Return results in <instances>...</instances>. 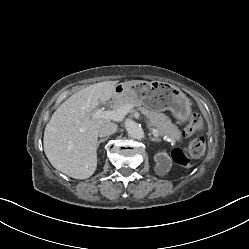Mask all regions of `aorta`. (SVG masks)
I'll list each match as a JSON object with an SVG mask.
<instances>
[{
    "mask_svg": "<svg viewBox=\"0 0 249 249\" xmlns=\"http://www.w3.org/2000/svg\"><path fill=\"white\" fill-rule=\"evenodd\" d=\"M128 134L138 140L144 138L143 129L134 121L128 120L125 124Z\"/></svg>",
    "mask_w": 249,
    "mask_h": 249,
    "instance_id": "aorta-1",
    "label": "aorta"
}]
</instances>
